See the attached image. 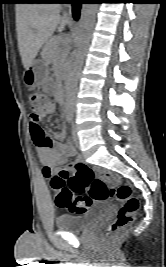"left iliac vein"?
<instances>
[{
	"label": "left iliac vein",
	"mask_w": 166,
	"mask_h": 267,
	"mask_svg": "<svg viewBox=\"0 0 166 267\" xmlns=\"http://www.w3.org/2000/svg\"><path fill=\"white\" fill-rule=\"evenodd\" d=\"M72 135H73V140L75 142V144L78 146L79 145V138L76 132V127L75 125L72 126Z\"/></svg>",
	"instance_id": "1"
}]
</instances>
